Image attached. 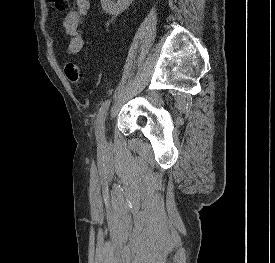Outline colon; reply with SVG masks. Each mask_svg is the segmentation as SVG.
<instances>
[{"mask_svg":"<svg viewBox=\"0 0 275 263\" xmlns=\"http://www.w3.org/2000/svg\"><path fill=\"white\" fill-rule=\"evenodd\" d=\"M54 8L58 12H65L68 9L69 0H50ZM64 73L66 78L75 86L79 87L83 83V75L81 74L79 66L73 62L68 61L64 66Z\"/></svg>","mask_w":275,"mask_h":263,"instance_id":"obj_1","label":"colon"}]
</instances>
